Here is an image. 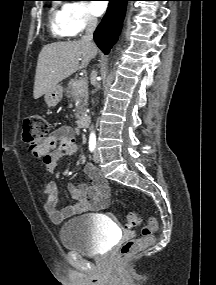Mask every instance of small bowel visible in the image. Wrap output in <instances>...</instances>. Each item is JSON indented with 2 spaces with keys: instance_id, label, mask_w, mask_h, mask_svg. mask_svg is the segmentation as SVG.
I'll return each instance as SVG.
<instances>
[{
  "instance_id": "c3829d8e",
  "label": "small bowel",
  "mask_w": 216,
  "mask_h": 285,
  "mask_svg": "<svg viewBox=\"0 0 216 285\" xmlns=\"http://www.w3.org/2000/svg\"><path fill=\"white\" fill-rule=\"evenodd\" d=\"M53 151H56L55 155L52 154ZM78 153L74 130L70 126H61L43 140L38 156L43 158L46 170L53 173L58 158L76 156ZM84 173L91 181L89 186L73 183L68 185L69 193L75 201L72 205L58 208V191L54 182L47 183L40 192L43 207L53 223L60 224L72 216L108 206L110 189L99 170L91 164H86Z\"/></svg>"
}]
</instances>
